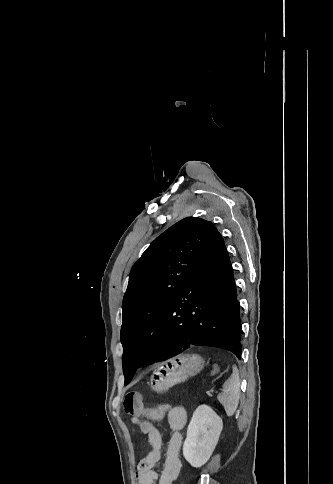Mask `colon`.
<instances>
[{
	"label": "colon",
	"mask_w": 333,
	"mask_h": 484,
	"mask_svg": "<svg viewBox=\"0 0 333 484\" xmlns=\"http://www.w3.org/2000/svg\"><path fill=\"white\" fill-rule=\"evenodd\" d=\"M173 407L174 406L170 404H161L157 407H148L147 414L151 420H160Z\"/></svg>",
	"instance_id": "5ec220e1"
}]
</instances>
